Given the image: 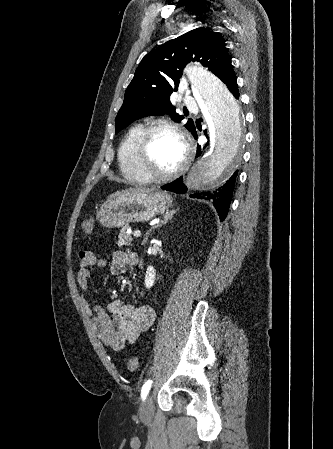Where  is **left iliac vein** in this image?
<instances>
[{"mask_svg": "<svg viewBox=\"0 0 333 449\" xmlns=\"http://www.w3.org/2000/svg\"><path fill=\"white\" fill-rule=\"evenodd\" d=\"M154 414V405L152 396H148L140 407L139 416L144 422H148L152 419Z\"/></svg>", "mask_w": 333, "mask_h": 449, "instance_id": "left-iliac-vein-1", "label": "left iliac vein"}]
</instances>
